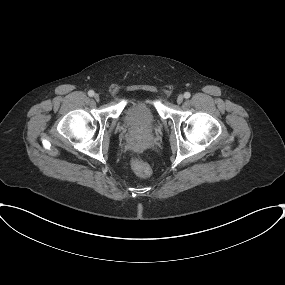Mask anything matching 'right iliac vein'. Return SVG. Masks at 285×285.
<instances>
[{"instance_id": "right-iliac-vein-1", "label": "right iliac vein", "mask_w": 285, "mask_h": 285, "mask_svg": "<svg viewBox=\"0 0 285 285\" xmlns=\"http://www.w3.org/2000/svg\"><path fill=\"white\" fill-rule=\"evenodd\" d=\"M94 99L98 102L100 100V96L98 94H95Z\"/></svg>"}]
</instances>
